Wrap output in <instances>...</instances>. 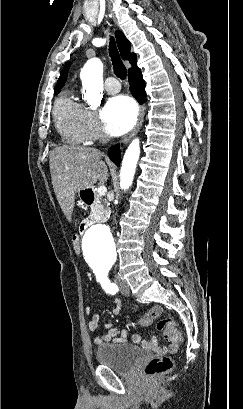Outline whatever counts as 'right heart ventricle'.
I'll use <instances>...</instances> for the list:
<instances>
[{"label":"right heart ventricle","mask_w":243,"mask_h":409,"mask_svg":"<svg viewBox=\"0 0 243 409\" xmlns=\"http://www.w3.org/2000/svg\"><path fill=\"white\" fill-rule=\"evenodd\" d=\"M81 108L70 91L61 94L54 104L53 118L56 129L62 138L71 144L84 141L80 122Z\"/></svg>","instance_id":"1"}]
</instances>
